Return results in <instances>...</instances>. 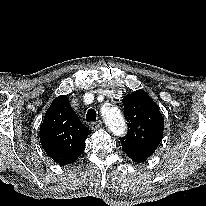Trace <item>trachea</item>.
Wrapping results in <instances>:
<instances>
[{
  "label": "trachea",
  "mask_w": 206,
  "mask_h": 206,
  "mask_svg": "<svg viewBox=\"0 0 206 206\" xmlns=\"http://www.w3.org/2000/svg\"><path fill=\"white\" fill-rule=\"evenodd\" d=\"M96 118H97L96 111L94 109H89L86 114V121L87 122L96 121Z\"/></svg>",
  "instance_id": "1"
}]
</instances>
